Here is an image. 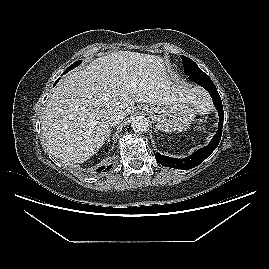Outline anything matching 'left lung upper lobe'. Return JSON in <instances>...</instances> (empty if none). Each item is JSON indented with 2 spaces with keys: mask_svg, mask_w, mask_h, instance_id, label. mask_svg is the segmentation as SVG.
I'll return each instance as SVG.
<instances>
[{
  "mask_svg": "<svg viewBox=\"0 0 269 269\" xmlns=\"http://www.w3.org/2000/svg\"><path fill=\"white\" fill-rule=\"evenodd\" d=\"M184 72L186 75L191 76L203 72L197 64L186 56L181 55Z\"/></svg>",
  "mask_w": 269,
  "mask_h": 269,
  "instance_id": "1",
  "label": "left lung upper lobe"
}]
</instances>
